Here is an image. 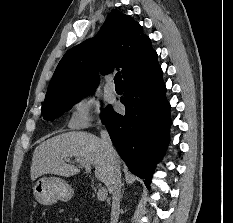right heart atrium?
<instances>
[{
    "instance_id": "obj_1",
    "label": "right heart atrium",
    "mask_w": 233,
    "mask_h": 223,
    "mask_svg": "<svg viewBox=\"0 0 233 223\" xmlns=\"http://www.w3.org/2000/svg\"><path fill=\"white\" fill-rule=\"evenodd\" d=\"M101 123L99 101L92 94L82 95L71 112L68 126L81 129Z\"/></svg>"
}]
</instances>
